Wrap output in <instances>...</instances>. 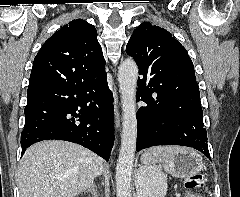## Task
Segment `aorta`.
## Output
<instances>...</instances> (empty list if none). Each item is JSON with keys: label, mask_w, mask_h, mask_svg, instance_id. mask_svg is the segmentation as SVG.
<instances>
[{"label": "aorta", "mask_w": 240, "mask_h": 197, "mask_svg": "<svg viewBox=\"0 0 240 197\" xmlns=\"http://www.w3.org/2000/svg\"><path fill=\"white\" fill-rule=\"evenodd\" d=\"M138 66L132 59L121 62L118 70V82L123 110V128L121 147L116 165V195L131 197V179L136 151V87Z\"/></svg>", "instance_id": "762f6f07"}]
</instances>
